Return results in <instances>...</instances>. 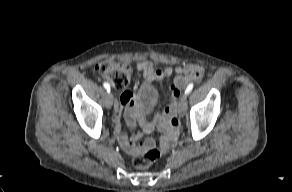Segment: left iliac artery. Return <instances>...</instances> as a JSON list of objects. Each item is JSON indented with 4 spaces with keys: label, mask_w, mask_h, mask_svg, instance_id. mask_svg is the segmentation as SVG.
Listing matches in <instances>:
<instances>
[{
    "label": "left iliac artery",
    "mask_w": 292,
    "mask_h": 192,
    "mask_svg": "<svg viewBox=\"0 0 292 192\" xmlns=\"http://www.w3.org/2000/svg\"><path fill=\"white\" fill-rule=\"evenodd\" d=\"M193 89V84H189L185 90V94L188 95Z\"/></svg>",
    "instance_id": "left-iliac-artery-1"
}]
</instances>
